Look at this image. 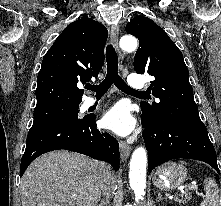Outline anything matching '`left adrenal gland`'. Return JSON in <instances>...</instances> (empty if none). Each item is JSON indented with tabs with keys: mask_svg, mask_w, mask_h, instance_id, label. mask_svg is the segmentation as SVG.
Instances as JSON below:
<instances>
[{
	"mask_svg": "<svg viewBox=\"0 0 221 206\" xmlns=\"http://www.w3.org/2000/svg\"><path fill=\"white\" fill-rule=\"evenodd\" d=\"M164 198L162 197L161 193L158 192V198L156 199L157 202L163 200Z\"/></svg>",
	"mask_w": 221,
	"mask_h": 206,
	"instance_id": "1",
	"label": "left adrenal gland"
}]
</instances>
